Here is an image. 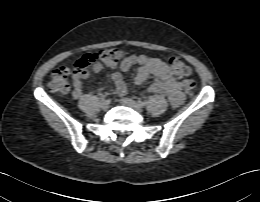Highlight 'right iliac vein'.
<instances>
[{
	"instance_id": "obj_1",
	"label": "right iliac vein",
	"mask_w": 260,
	"mask_h": 202,
	"mask_svg": "<svg viewBox=\"0 0 260 202\" xmlns=\"http://www.w3.org/2000/svg\"><path fill=\"white\" fill-rule=\"evenodd\" d=\"M100 105H101V108H102L103 110H106V109L109 108V102L106 101V100H103Z\"/></svg>"
}]
</instances>
